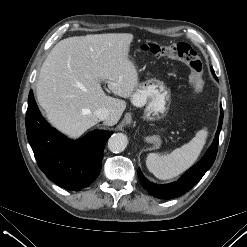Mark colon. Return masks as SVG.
Instances as JSON below:
<instances>
[{
  "label": "colon",
  "instance_id": "colon-1",
  "mask_svg": "<svg viewBox=\"0 0 247 247\" xmlns=\"http://www.w3.org/2000/svg\"><path fill=\"white\" fill-rule=\"evenodd\" d=\"M141 49L156 57H165L184 62L190 69V89L194 95H198L203 89V64L196 52L187 43L160 45L148 43Z\"/></svg>",
  "mask_w": 247,
  "mask_h": 247
}]
</instances>
